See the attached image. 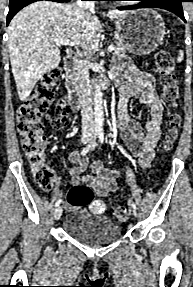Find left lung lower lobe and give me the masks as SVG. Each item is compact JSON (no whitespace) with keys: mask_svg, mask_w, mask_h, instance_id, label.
Segmentation results:
<instances>
[{"mask_svg":"<svg viewBox=\"0 0 193 287\" xmlns=\"http://www.w3.org/2000/svg\"><path fill=\"white\" fill-rule=\"evenodd\" d=\"M138 1H140V3L137 5L118 8V9L119 10H132V9H138V8H161V9H165L176 14L184 22H186L181 3L186 2L187 0H138Z\"/></svg>","mask_w":193,"mask_h":287,"instance_id":"left-lung-lower-lobe-1","label":"left lung lower lobe"}]
</instances>
